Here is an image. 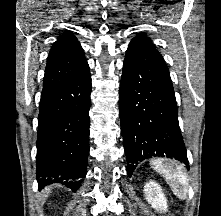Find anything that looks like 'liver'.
Returning a JSON list of instances; mask_svg holds the SVG:
<instances>
[{
	"label": "liver",
	"instance_id": "1",
	"mask_svg": "<svg viewBox=\"0 0 221 216\" xmlns=\"http://www.w3.org/2000/svg\"><path fill=\"white\" fill-rule=\"evenodd\" d=\"M51 187H46L42 192H41V196H40V201L43 204L46 200V198L49 196V194L51 193Z\"/></svg>",
	"mask_w": 221,
	"mask_h": 216
}]
</instances>
